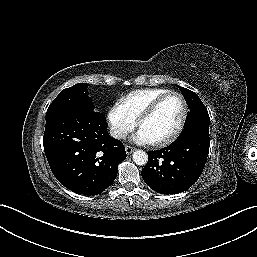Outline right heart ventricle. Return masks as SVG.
<instances>
[{"instance_id": "e07e8e85", "label": "right heart ventricle", "mask_w": 257, "mask_h": 257, "mask_svg": "<svg viewBox=\"0 0 257 257\" xmlns=\"http://www.w3.org/2000/svg\"><path fill=\"white\" fill-rule=\"evenodd\" d=\"M166 88H144L129 92L120 99V103L135 120L157 98L168 93Z\"/></svg>"}]
</instances>
